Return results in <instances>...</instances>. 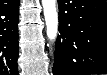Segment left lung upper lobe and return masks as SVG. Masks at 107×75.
<instances>
[{
	"mask_svg": "<svg viewBox=\"0 0 107 75\" xmlns=\"http://www.w3.org/2000/svg\"><path fill=\"white\" fill-rule=\"evenodd\" d=\"M67 36L69 39L78 40L83 36V26L77 16H73L69 23Z\"/></svg>",
	"mask_w": 107,
	"mask_h": 75,
	"instance_id": "5c2ea615",
	"label": "left lung upper lobe"
}]
</instances>
